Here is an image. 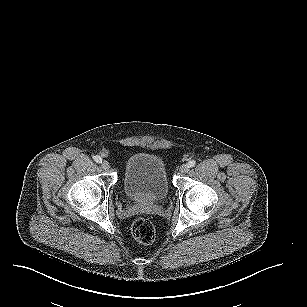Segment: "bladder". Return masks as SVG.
<instances>
[{"instance_id": "31cf9c89", "label": "bladder", "mask_w": 307, "mask_h": 307, "mask_svg": "<svg viewBox=\"0 0 307 307\" xmlns=\"http://www.w3.org/2000/svg\"><path fill=\"white\" fill-rule=\"evenodd\" d=\"M122 186L130 199L162 200L169 191L167 172L162 159L149 154H136L128 159Z\"/></svg>"}]
</instances>
